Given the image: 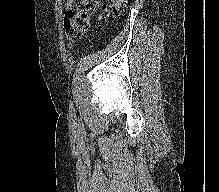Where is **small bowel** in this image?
<instances>
[{"mask_svg": "<svg viewBox=\"0 0 219 192\" xmlns=\"http://www.w3.org/2000/svg\"><path fill=\"white\" fill-rule=\"evenodd\" d=\"M72 0H68V3L71 4Z\"/></svg>", "mask_w": 219, "mask_h": 192, "instance_id": "obj_1", "label": "small bowel"}]
</instances>
